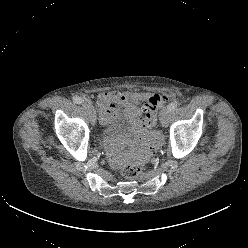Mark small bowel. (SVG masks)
Returning a JSON list of instances; mask_svg holds the SVG:
<instances>
[{
	"mask_svg": "<svg viewBox=\"0 0 248 248\" xmlns=\"http://www.w3.org/2000/svg\"><path fill=\"white\" fill-rule=\"evenodd\" d=\"M151 97L141 92H103L97 97L100 121L108 130L122 116L137 125ZM147 128L149 127L143 123L137 130V148L141 153L153 151L160 143L158 133ZM107 156L112 165L119 164L120 155L113 146H109Z\"/></svg>",
	"mask_w": 248,
	"mask_h": 248,
	"instance_id": "obj_1",
	"label": "small bowel"
}]
</instances>
